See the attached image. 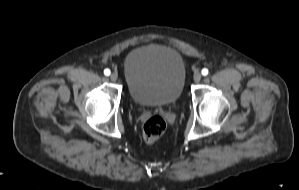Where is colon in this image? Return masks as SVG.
<instances>
[{
    "label": "colon",
    "instance_id": "1",
    "mask_svg": "<svg viewBox=\"0 0 299 190\" xmlns=\"http://www.w3.org/2000/svg\"><path fill=\"white\" fill-rule=\"evenodd\" d=\"M166 128L167 123L162 117H152L143 126V138L147 143H153L165 133Z\"/></svg>",
    "mask_w": 299,
    "mask_h": 190
}]
</instances>
